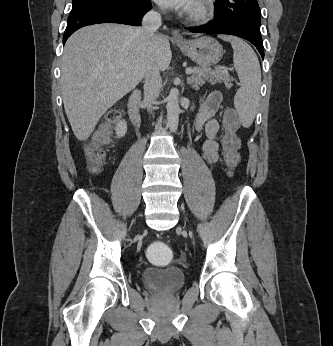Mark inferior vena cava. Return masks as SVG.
<instances>
[{"label":"inferior vena cava","instance_id":"inferior-vena-cava-1","mask_svg":"<svg viewBox=\"0 0 333 346\" xmlns=\"http://www.w3.org/2000/svg\"><path fill=\"white\" fill-rule=\"evenodd\" d=\"M161 15L156 11L147 12L142 19V27L140 30L144 33L150 49H154L156 45L155 32L161 26ZM162 89V79L159 69L152 56L149 57L145 67V83H144V102L151 110L152 104L155 103Z\"/></svg>","mask_w":333,"mask_h":346}]
</instances>
